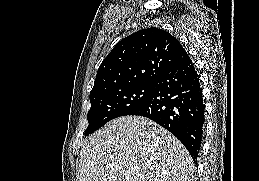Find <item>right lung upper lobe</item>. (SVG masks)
I'll use <instances>...</instances> for the list:
<instances>
[{"label":"right lung upper lobe","mask_w":259,"mask_h":181,"mask_svg":"<svg viewBox=\"0 0 259 181\" xmlns=\"http://www.w3.org/2000/svg\"><path fill=\"white\" fill-rule=\"evenodd\" d=\"M188 57L180 42L159 28L137 31L118 42L100 65L95 93L135 84L154 83Z\"/></svg>","instance_id":"cb5924a9"}]
</instances>
